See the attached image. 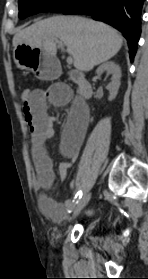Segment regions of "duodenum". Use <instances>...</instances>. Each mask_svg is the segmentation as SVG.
<instances>
[{
	"label": "duodenum",
	"mask_w": 148,
	"mask_h": 279,
	"mask_svg": "<svg viewBox=\"0 0 148 279\" xmlns=\"http://www.w3.org/2000/svg\"><path fill=\"white\" fill-rule=\"evenodd\" d=\"M71 79L76 81L79 86V92L84 99H88L92 95V86L81 74L72 71L70 73Z\"/></svg>",
	"instance_id": "1"
}]
</instances>
